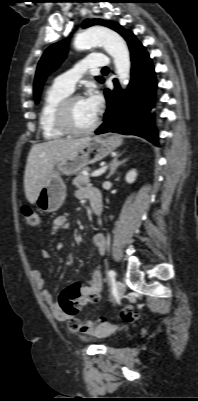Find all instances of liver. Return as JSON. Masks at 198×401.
I'll return each mask as SVG.
<instances>
[{
  "instance_id": "1",
  "label": "liver",
  "mask_w": 198,
  "mask_h": 401,
  "mask_svg": "<svg viewBox=\"0 0 198 401\" xmlns=\"http://www.w3.org/2000/svg\"><path fill=\"white\" fill-rule=\"evenodd\" d=\"M90 140L55 139L32 146L24 173V189L27 200L34 204L56 163L74 153Z\"/></svg>"
}]
</instances>
